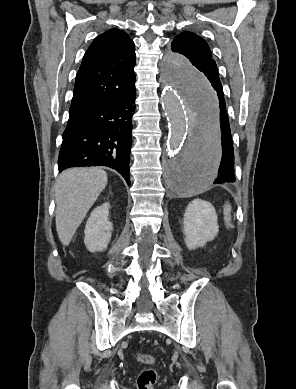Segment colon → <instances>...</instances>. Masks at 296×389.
Returning a JSON list of instances; mask_svg holds the SVG:
<instances>
[{"instance_id": "obj_1", "label": "colon", "mask_w": 296, "mask_h": 389, "mask_svg": "<svg viewBox=\"0 0 296 389\" xmlns=\"http://www.w3.org/2000/svg\"><path fill=\"white\" fill-rule=\"evenodd\" d=\"M137 360L146 365H153L155 358L152 355L139 353L136 355ZM157 381V372L154 368L149 367L143 369L137 378L138 389H153Z\"/></svg>"}]
</instances>
